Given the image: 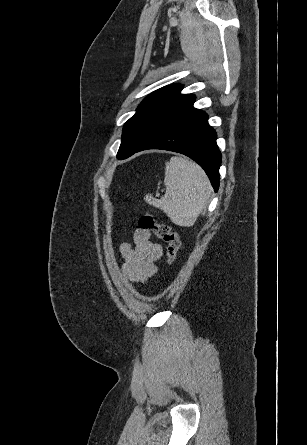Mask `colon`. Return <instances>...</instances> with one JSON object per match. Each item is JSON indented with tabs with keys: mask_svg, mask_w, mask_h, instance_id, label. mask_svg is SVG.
I'll return each instance as SVG.
<instances>
[{
	"mask_svg": "<svg viewBox=\"0 0 307 445\" xmlns=\"http://www.w3.org/2000/svg\"><path fill=\"white\" fill-rule=\"evenodd\" d=\"M139 228L153 232L159 239L166 243V257L168 265H172L178 255L180 249L179 234L169 225L160 223L155 220L152 214L144 213L138 221Z\"/></svg>",
	"mask_w": 307,
	"mask_h": 445,
	"instance_id": "5ec220e1",
	"label": "colon"
}]
</instances>
